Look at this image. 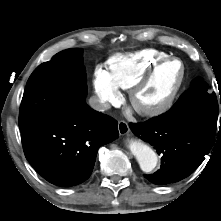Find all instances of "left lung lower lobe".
<instances>
[{"mask_svg": "<svg viewBox=\"0 0 221 221\" xmlns=\"http://www.w3.org/2000/svg\"><path fill=\"white\" fill-rule=\"evenodd\" d=\"M188 118L163 120L155 117L145 123L130 124L132 132L148 141L162 156L160 169L145 177L154 184L165 185L189 176L204 161L214 143L221 137V121Z\"/></svg>", "mask_w": 221, "mask_h": 221, "instance_id": "obj_1", "label": "left lung lower lobe"}]
</instances>
